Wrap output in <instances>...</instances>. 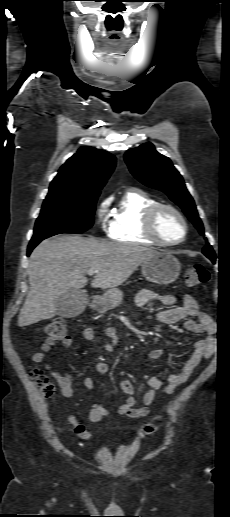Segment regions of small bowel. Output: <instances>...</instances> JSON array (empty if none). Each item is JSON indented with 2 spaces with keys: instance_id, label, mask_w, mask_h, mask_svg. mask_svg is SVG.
<instances>
[{
  "instance_id": "small-bowel-1",
  "label": "small bowel",
  "mask_w": 230,
  "mask_h": 517,
  "mask_svg": "<svg viewBox=\"0 0 230 517\" xmlns=\"http://www.w3.org/2000/svg\"><path fill=\"white\" fill-rule=\"evenodd\" d=\"M157 300L162 305L173 306L176 298L172 294L159 295L151 290H141L137 295V303L139 306H145L148 302ZM196 318V320L194 319ZM156 320L162 324H174L177 322H184L186 330L195 334H204L205 337L196 341L193 345V352L190 358L184 363L179 371L170 374L167 379L163 380L159 377H152L149 380V389L142 395L138 396L132 383L128 379H121L119 387L121 391L127 396L125 402L118 408V414L131 418H141L149 414V406L155 399L157 391L170 395L173 394L180 386H182L193 371L204 361L209 360L217 350L216 333L218 330L217 324L204 311H201L196 300L189 294L184 295L183 304L177 307H171L167 310L159 312L156 315ZM105 335L111 339L110 342L103 344V349L107 352H115L119 343V335L115 328H108ZM82 336L85 340L91 341L95 338V332L92 328L86 327L82 330ZM66 345L70 344V340L64 341ZM55 344V339L47 338L41 344L40 351L34 353L31 360L34 363H42L46 360V354ZM163 354L161 349H154L149 352L150 359H157ZM47 369L53 372L57 382L61 388V393L64 398H70L74 394L78 383L67 373L57 372L52 369L49 363H45ZM95 370L98 374L105 375L109 372V365L106 362L99 361L95 364ZM88 391L93 392L94 383L92 379H85L82 384ZM137 402L141 406L137 407ZM108 411L99 402L94 401L90 407L88 416L91 422L98 423L105 416ZM69 424L73 427L74 432L83 440H89L91 433L87 428L81 424L77 417L69 414L67 417Z\"/></svg>"
}]
</instances>
